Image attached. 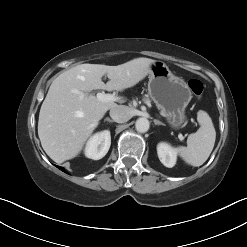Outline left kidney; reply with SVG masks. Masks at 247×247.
Segmentation results:
<instances>
[{
  "label": "left kidney",
  "instance_id": "left-kidney-1",
  "mask_svg": "<svg viewBox=\"0 0 247 247\" xmlns=\"http://www.w3.org/2000/svg\"><path fill=\"white\" fill-rule=\"evenodd\" d=\"M157 153L161 163L172 168L176 164L177 151L167 143H159L157 146Z\"/></svg>",
  "mask_w": 247,
  "mask_h": 247
}]
</instances>
